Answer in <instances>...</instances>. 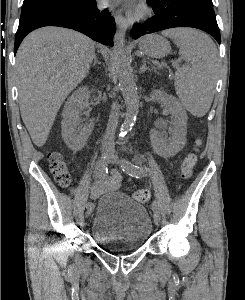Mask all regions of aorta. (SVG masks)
<instances>
[{
    "label": "aorta",
    "instance_id": "aorta-1",
    "mask_svg": "<svg viewBox=\"0 0 245 300\" xmlns=\"http://www.w3.org/2000/svg\"><path fill=\"white\" fill-rule=\"evenodd\" d=\"M125 30H119L114 36V56L119 78V88L126 104L125 121L122 133L133 125L139 108L137 86L134 80L132 68L128 62L125 50Z\"/></svg>",
    "mask_w": 245,
    "mask_h": 300
}]
</instances>
